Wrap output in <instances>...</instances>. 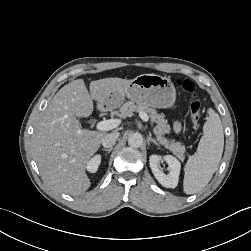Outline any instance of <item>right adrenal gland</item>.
Here are the masks:
<instances>
[{
	"instance_id": "obj_1",
	"label": "right adrenal gland",
	"mask_w": 251,
	"mask_h": 251,
	"mask_svg": "<svg viewBox=\"0 0 251 251\" xmlns=\"http://www.w3.org/2000/svg\"><path fill=\"white\" fill-rule=\"evenodd\" d=\"M112 149H113V148H108V149L102 148V151H106V152L110 153V152L112 151Z\"/></svg>"
}]
</instances>
